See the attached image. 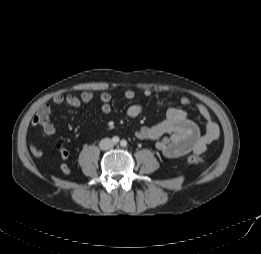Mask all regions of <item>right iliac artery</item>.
Instances as JSON below:
<instances>
[{
	"instance_id": "82829eb1",
	"label": "right iliac artery",
	"mask_w": 261,
	"mask_h": 254,
	"mask_svg": "<svg viewBox=\"0 0 261 254\" xmlns=\"http://www.w3.org/2000/svg\"><path fill=\"white\" fill-rule=\"evenodd\" d=\"M112 142H113L114 144H117V143L119 142V138H118L117 136L113 137V138H112Z\"/></svg>"
}]
</instances>
